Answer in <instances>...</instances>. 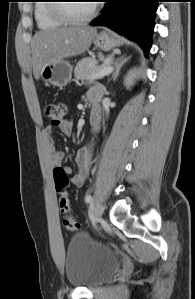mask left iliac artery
Wrapping results in <instances>:
<instances>
[{
	"label": "left iliac artery",
	"instance_id": "44dca946",
	"mask_svg": "<svg viewBox=\"0 0 195 299\" xmlns=\"http://www.w3.org/2000/svg\"><path fill=\"white\" fill-rule=\"evenodd\" d=\"M92 201H93V198H92L91 195H87V196L85 197V202H86V203H91Z\"/></svg>",
	"mask_w": 195,
	"mask_h": 299
}]
</instances>
